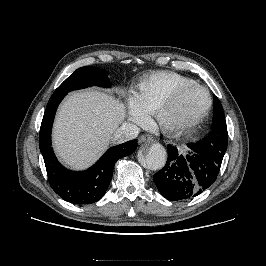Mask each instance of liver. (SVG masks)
Here are the masks:
<instances>
[{"label":"liver","mask_w":266,"mask_h":266,"mask_svg":"<svg viewBox=\"0 0 266 266\" xmlns=\"http://www.w3.org/2000/svg\"><path fill=\"white\" fill-rule=\"evenodd\" d=\"M125 116V105L107 93H71L61 104L54 123L56 154L73 169L89 167L107 149Z\"/></svg>","instance_id":"obj_1"}]
</instances>
